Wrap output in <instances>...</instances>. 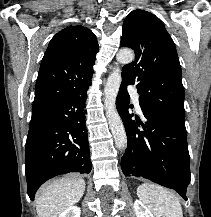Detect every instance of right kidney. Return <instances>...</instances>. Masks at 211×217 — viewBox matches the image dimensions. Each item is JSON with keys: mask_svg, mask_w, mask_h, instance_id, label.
Wrapping results in <instances>:
<instances>
[{"mask_svg": "<svg viewBox=\"0 0 211 217\" xmlns=\"http://www.w3.org/2000/svg\"><path fill=\"white\" fill-rule=\"evenodd\" d=\"M81 210L77 206H71L64 210L59 217H80Z\"/></svg>", "mask_w": 211, "mask_h": 217, "instance_id": "obj_1", "label": "right kidney"}]
</instances>
